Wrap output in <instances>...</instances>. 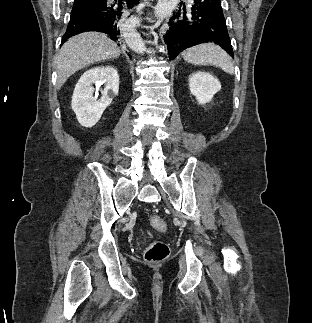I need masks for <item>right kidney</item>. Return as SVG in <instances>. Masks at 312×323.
<instances>
[{
  "instance_id": "1",
  "label": "right kidney",
  "mask_w": 312,
  "mask_h": 323,
  "mask_svg": "<svg viewBox=\"0 0 312 323\" xmlns=\"http://www.w3.org/2000/svg\"><path fill=\"white\" fill-rule=\"evenodd\" d=\"M103 86L99 94L94 96V86ZM119 90V76L114 66H96L82 74L72 96V110L84 128H92L100 120L104 110L110 106Z\"/></svg>"
}]
</instances>
